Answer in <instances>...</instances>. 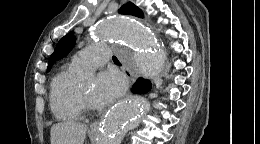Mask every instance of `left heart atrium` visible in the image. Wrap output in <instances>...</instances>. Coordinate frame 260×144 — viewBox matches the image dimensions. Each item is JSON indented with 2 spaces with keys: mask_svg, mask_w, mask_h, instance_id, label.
I'll return each mask as SVG.
<instances>
[{
  "mask_svg": "<svg viewBox=\"0 0 260 144\" xmlns=\"http://www.w3.org/2000/svg\"><path fill=\"white\" fill-rule=\"evenodd\" d=\"M124 89L125 80L119 72L105 71L98 77L92 98L97 106H105L120 97Z\"/></svg>",
  "mask_w": 260,
  "mask_h": 144,
  "instance_id": "1",
  "label": "left heart atrium"
}]
</instances>
